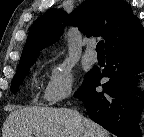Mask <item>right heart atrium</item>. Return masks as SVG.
I'll list each match as a JSON object with an SVG mask.
<instances>
[{
	"label": "right heart atrium",
	"instance_id": "right-heart-atrium-1",
	"mask_svg": "<svg viewBox=\"0 0 144 137\" xmlns=\"http://www.w3.org/2000/svg\"><path fill=\"white\" fill-rule=\"evenodd\" d=\"M74 70L67 61L55 63L43 90V99L48 103H58L73 93Z\"/></svg>",
	"mask_w": 144,
	"mask_h": 137
}]
</instances>
